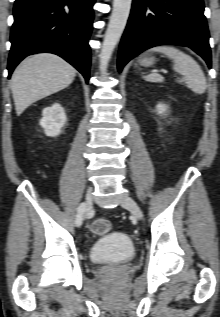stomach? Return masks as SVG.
Here are the masks:
<instances>
[{"label": "stomach", "instance_id": "obj_1", "mask_svg": "<svg viewBox=\"0 0 220 317\" xmlns=\"http://www.w3.org/2000/svg\"><path fill=\"white\" fill-rule=\"evenodd\" d=\"M138 62L142 66H150L154 64L155 58L152 56H143L138 59Z\"/></svg>", "mask_w": 220, "mask_h": 317}]
</instances>
